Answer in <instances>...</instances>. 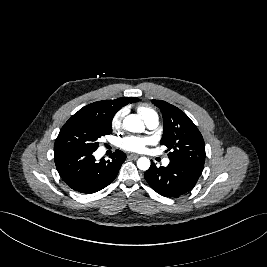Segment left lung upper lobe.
Returning a JSON list of instances; mask_svg holds the SVG:
<instances>
[{
	"mask_svg": "<svg viewBox=\"0 0 267 267\" xmlns=\"http://www.w3.org/2000/svg\"><path fill=\"white\" fill-rule=\"evenodd\" d=\"M163 114L161 145L168 147L170 160L204 168L205 144L191 119L179 108L161 100H152Z\"/></svg>",
	"mask_w": 267,
	"mask_h": 267,
	"instance_id": "5c2ea615",
	"label": "left lung upper lobe"
}]
</instances>
